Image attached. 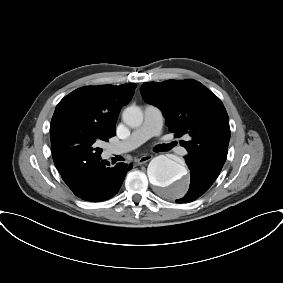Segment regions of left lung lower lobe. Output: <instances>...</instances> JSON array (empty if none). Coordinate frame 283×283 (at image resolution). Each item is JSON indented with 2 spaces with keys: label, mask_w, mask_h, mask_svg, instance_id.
Wrapping results in <instances>:
<instances>
[{
  "label": "left lung lower lobe",
  "mask_w": 283,
  "mask_h": 283,
  "mask_svg": "<svg viewBox=\"0 0 283 283\" xmlns=\"http://www.w3.org/2000/svg\"><path fill=\"white\" fill-rule=\"evenodd\" d=\"M184 158L190 169L191 184L187 194L183 198L176 200L178 203L191 202L200 197L210 188L220 174V172L205 169L194 159Z\"/></svg>",
  "instance_id": "left-lung-lower-lobe-1"
}]
</instances>
